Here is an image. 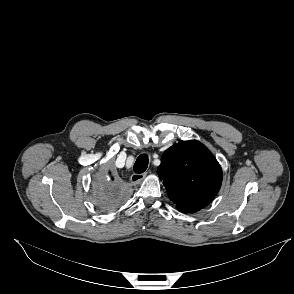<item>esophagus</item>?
<instances>
[{
    "label": "esophagus",
    "mask_w": 294,
    "mask_h": 294,
    "mask_svg": "<svg viewBox=\"0 0 294 294\" xmlns=\"http://www.w3.org/2000/svg\"><path fill=\"white\" fill-rule=\"evenodd\" d=\"M146 175H147V172L134 173V174H132L130 181L133 185H137L142 182V180L145 178Z\"/></svg>",
    "instance_id": "34e87169"
}]
</instances>
